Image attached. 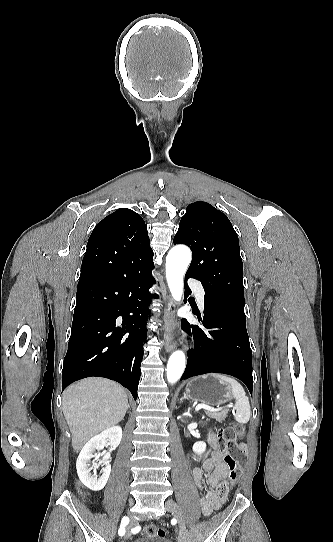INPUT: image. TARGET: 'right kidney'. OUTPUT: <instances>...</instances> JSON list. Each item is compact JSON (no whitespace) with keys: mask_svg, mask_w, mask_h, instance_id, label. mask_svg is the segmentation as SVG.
Wrapping results in <instances>:
<instances>
[{"mask_svg":"<svg viewBox=\"0 0 333 542\" xmlns=\"http://www.w3.org/2000/svg\"><path fill=\"white\" fill-rule=\"evenodd\" d=\"M121 438L122 428H120V426H112V428H107V430H104V432H101L98 436L91 438V440L83 446L77 458L76 470L80 482H82L86 488H89V490H93V492H100V490H103L111 474L109 462L111 456L110 452L100 454V456H103L102 460H99L98 464H92L91 466L90 460H92V458H98L96 450H103L105 446H111L110 450H115V448L119 446ZM99 466H103L102 476H99V478H97V476H92L91 470L99 468Z\"/></svg>","mask_w":333,"mask_h":542,"instance_id":"1","label":"right kidney"}]
</instances>
